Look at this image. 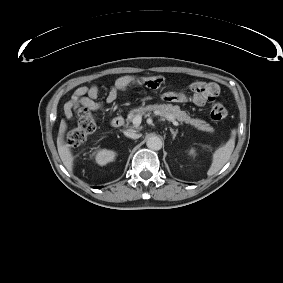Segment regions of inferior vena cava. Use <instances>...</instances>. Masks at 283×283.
Wrapping results in <instances>:
<instances>
[{
    "label": "inferior vena cava",
    "mask_w": 283,
    "mask_h": 283,
    "mask_svg": "<svg viewBox=\"0 0 283 283\" xmlns=\"http://www.w3.org/2000/svg\"><path fill=\"white\" fill-rule=\"evenodd\" d=\"M124 135L129 137V138H132V139H138V138L141 137V134L136 133L133 130H126V131H124Z\"/></svg>",
    "instance_id": "602c4592"
}]
</instances>
